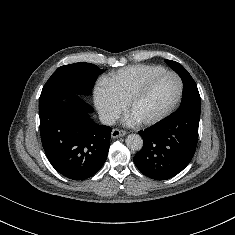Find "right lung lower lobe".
<instances>
[{
  "label": "right lung lower lobe",
  "mask_w": 235,
  "mask_h": 235,
  "mask_svg": "<svg viewBox=\"0 0 235 235\" xmlns=\"http://www.w3.org/2000/svg\"><path fill=\"white\" fill-rule=\"evenodd\" d=\"M91 112L92 106L77 94L54 95L39 102L40 135L48 160L73 180L93 176L108 155L112 128L95 123Z\"/></svg>",
  "instance_id": "obj_1"
}]
</instances>
